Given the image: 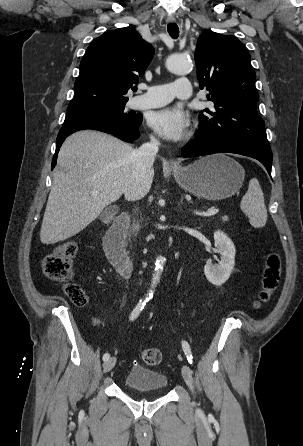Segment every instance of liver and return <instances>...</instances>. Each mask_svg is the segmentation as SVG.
<instances>
[{"instance_id": "1", "label": "liver", "mask_w": 303, "mask_h": 446, "mask_svg": "<svg viewBox=\"0 0 303 446\" xmlns=\"http://www.w3.org/2000/svg\"><path fill=\"white\" fill-rule=\"evenodd\" d=\"M135 149L105 133L79 131L60 148L44 213L40 240L55 244L75 236L123 194L127 200L143 197L150 189L154 169L134 188ZM93 191H98L92 196Z\"/></svg>"}]
</instances>
